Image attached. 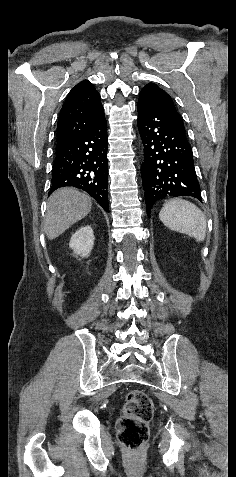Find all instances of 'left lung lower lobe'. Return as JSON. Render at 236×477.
Listing matches in <instances>:
<instances>
[{"mask_svg": "<svg viewBox=\"0 0 236 477\" xmlns=\"http://www.w3.org/2000/svg\"><path fill=\"white\" fill-rule=\"evenodd\" d=\"M138 129L144 146L141 167L146 208L161 199L191 196L201 201L193 153L185 131L169 117L156 98L142 90L138 100Z\"/></svg>", "mask_w": 236, "mask_h": 477, "instance_id": "left-lung-lower-lobe-1", "label": "left lung lower lobe"}]
</instances>
